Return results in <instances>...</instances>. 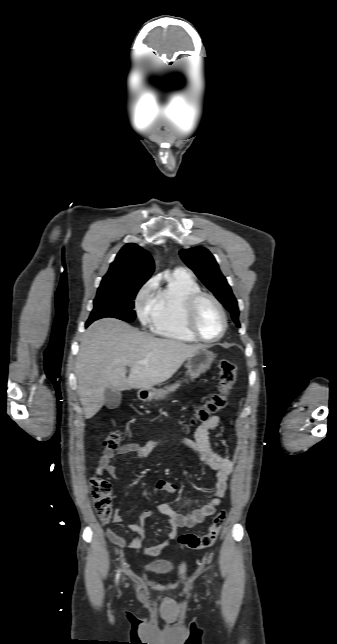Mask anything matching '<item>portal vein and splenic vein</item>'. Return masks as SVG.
Instances as JSON below:
<instances>
[{
	"mask_svg": "<svg viewBox=\"0 0 337 644\" xmlns=\"http://www.w3.org/2000/svg\"><path fill=\"white\" fill-rule=\"evenodd\" d=\"M137 363L141 364V365H145V364L148 363V361L147 360H141V361H137Z\"/></svg>",
	"mask_w": 337,
	"mask_h": 644,
	"instance_id": "1",
	"label": "portal vein and splenic vein"
}]
</instances>
